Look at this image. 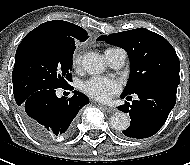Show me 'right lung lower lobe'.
I'll return each mask as SVG.
<instances>
[{"instance_id":"98d812e1","label":"right lung lower lobe","mask_w":190,"mask_h":165,"mask_svg":"<svg viewBox=\"0 0 190 165\" xmlns=\"http://www.w3.org/2000/svg\"><path fill=\"white\" fill-rule=\"evenodd\" d=\"M55 92L56 89L36 91L19 105V112L26 126L44 142L70 136L76 115L89 103V99L80 92L74 91L71 98H58Z\"/></svg>"}]
</instances>
